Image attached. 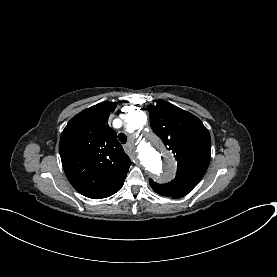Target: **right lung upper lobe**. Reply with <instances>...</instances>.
Returning <instances> with one entry per match:
<instances>
[{"mask_svg":"<svg viewBox=\"0 0 277 277\" xmlns=\"http://www.w3.org/2000/svg\"><path fill=\"white\" fill-rule=\"evenodd\" d=\"M116 104L102 102L74 116L63 130L59 152L65 174L82 195L106 198L121 189L131 161L107 124Z\"/></svg>","mask_w":277,"mask_h":277,"instance_id":"1","label":"right lung upper lobe"}]
</instances>
